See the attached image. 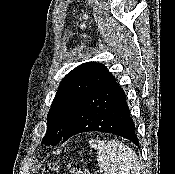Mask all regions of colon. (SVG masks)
Returning a JSON list of instances; mask_svg holds the SVG:
<instances>
[{"mask_svg":"<svg viewBox=\"0 0 175 174\" xmlns=\"http://www.w3.org/2000/svg\"><path fill=\"white\" fill-rule=\"evenodd\" d=\"M69 170L73 174H91V172L88 169L83 168L78 162H70ZM59 165L57 163H51L47 169L48 171H56L58 170Z\"/></svg>","mask_w":175,"mask_h":174,"instance_id":"obj_1","label":"colon"}]
</instances>
